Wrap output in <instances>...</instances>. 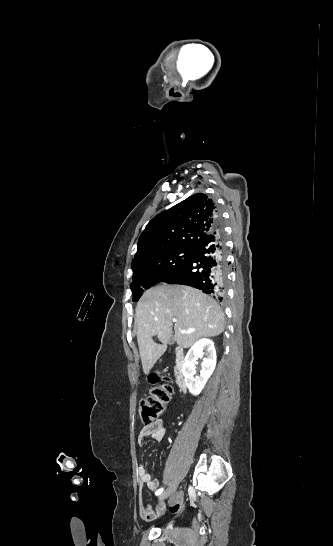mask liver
<instances>
[{
	"instance_id": "6515ba94",
	"label": "liver",
	"mask_w": 333,
	"mask_h": 546,
	"mask_svg": "<svg viewBox=\"0 0 333 546\" xmlns=\"http://www.w3.org/2000/svg\"><path fill=\"white\" fill-rule=\"evenodd\" d=\"M137 341L143 371L148 374L166 351L172 336L174 341L189 348L205 337H215L224 331L225 316L218 303L198 289L185 285H159L147 290L136 306ZM185 330L188 333H180ZM157 336L162 343L153 341Z\"/></svg>"
}]
</instances>
